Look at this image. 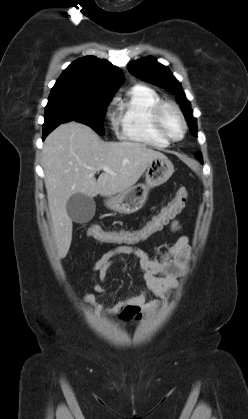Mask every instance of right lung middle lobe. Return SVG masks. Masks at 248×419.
Here are the masks:
<instances>
[{"label":"right lung middle lobe","instance_id":"dd1d6c3e","mask_svg":"<svg viewBox=\"0 0 248 419\" xmlns=\"http://www.w3.org/2000/svg\"><path fill=\"white\" fill-rule=\"evenodd\" d=\"M112 95H96L73 90L52 89L45 108L43 128L78 121L104 133L102 121Z\"/></svg>","mask_w":248,"mask_h":419}]
</instances>
